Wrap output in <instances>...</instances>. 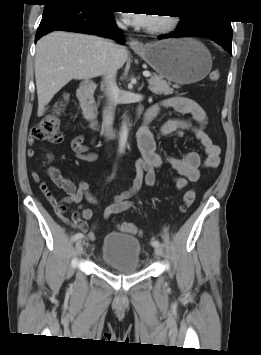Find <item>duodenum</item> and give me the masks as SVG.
Listing matches in <instances>:
<instances>
[{
  "label": "duodenum",
  "mask_w": 261,
  "mask_h": 355,
  "mask_svg": "<svg viewBox=\"0 0 261 355\" xmlns=\"http://www.w3.org/2000/svg\"><path fill=\"white\" fill-rule=\"evenodd\" d=\"M96 84L94 82H87L80 86L78 90V99L85 119L88 121L92 129H98L99 122L97 119L96 105L94 99V93L96 90ZM147 121L144 120L141 128L147 126Z\"/></svg>",
  "instance_id": "410a0bca"
}]
</instances>
